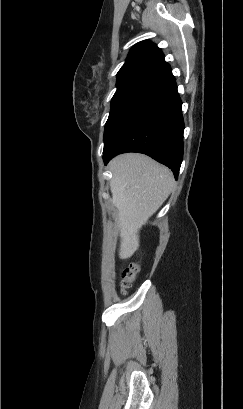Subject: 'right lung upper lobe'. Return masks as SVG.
Masks as SVG:
<instances>
[{"instance_id": "1", "label": "right lung upper lobe", "mask_w": 243, "mask_h": 409, "mask_svg": "<svg viewBox=\"0 0 243 409\" xmlns=\"http://www.w3.org/2000/svg\"><path fill=\"white\" fill-rule=\"evenodd\" d=\"M170 74L171 67L165 62L161 49L150 41H142L130 50L124 65L117 73V82L139 77L163 81Z\"/></svg>"}]
</instances>
